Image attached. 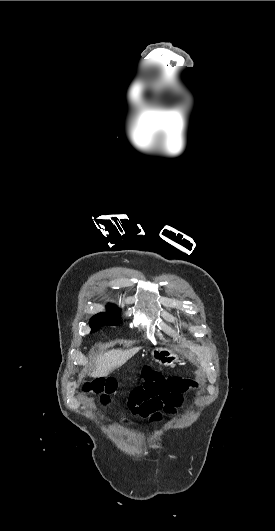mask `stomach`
I'll use <instances>...</instances> for the list:
<instances>
[{
	"instance_id": "obj_1",
	"label": "stomach",
	"mask_w": 275,
	"mask_h": 531,
	"mask_svg": "<svg viewBox=\"0 0 275 531\" xmlns=\"http://www.w3.org/2000/svg\"><path fill=\"white\" fill-rule=\"evenodd\" d=\"M145 361H155L164 367H175V363H179V355H176L173 347H155L153 350H145Z\"/></svg>"
}]
</instances>
